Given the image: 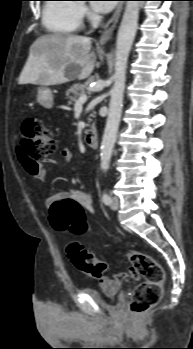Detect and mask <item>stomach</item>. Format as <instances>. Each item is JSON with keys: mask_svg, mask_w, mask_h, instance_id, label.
Returning <instances> with one entry per match:
<instances>
[{"mask_svg": "<svg viewBox=\"0 0 193 349\" xmlns=\"http://www.w3.org/2000/svg\"><path fill=\"white\" fill-rule=\"evenodd\" d=\"M37 100L45 108H52L53 94L52 91L45 86H40L37 89Z\"/></svg>", "mask_w": 193, "mask_h": 349, "instance_id": "0dacf381", "label": "stomach"}]
</instances>
